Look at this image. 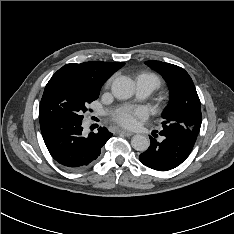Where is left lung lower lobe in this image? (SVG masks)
I'll return each instance as SVG.
<instances>
[{
	"mask_svg": "<svg viewBox=\"0 0 234 234\" xmlns=\"http://www.w3.org/2000/svg\"><path fill=\"white\" fill-rule=\"evenodd\" d=\"M159 134L163 141H157V134L153 133L149 148L139 156V160L143 165L158 171L173 169L185 161L194 145L172 132L162 130Z\"/></svg>",
	"mask_w": 234,
	"mask_h": 234,
	"instance_id": "0a47b994",
	"label": "left lung lower lobe"
}]
</instances>
